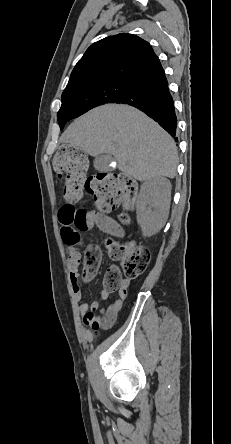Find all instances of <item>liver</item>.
<instances>
[{
    "label": "liver",
    "instance_id": "obj_1",
    "mask_svg": "<svg viewBox=\"0 0 231 444\" xmlns=\"http://www.w3.org/2000/svg\"><path fill=\"white\" fill-rule=\"evenodd\" d=\"M60 141L91 156L111 154L118 169L139 181L174 178L178 153L174 140L140 110L123 104H106L80 116Z\"/></svg>",
    "mask_w": 231,
    "mask_h": 444
}]
</instances>
